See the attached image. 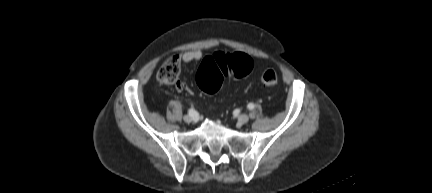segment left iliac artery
<instances>
[{"instance_id": "1", "label": "left iliac artery", "mask_w": 432, "mask_h": 193, "mask_svg": "<svg viewBox=\"0 0 432 193\" xmlns=\"http://www.w3.org/2000/svg\"><path fill=\"white\" fill-rule=\"evenodd\" d=\"M247 108L250 109V110L254 109V104L253 103H249L247 105Z\"/></svg>"}]
</instances>
